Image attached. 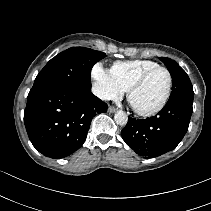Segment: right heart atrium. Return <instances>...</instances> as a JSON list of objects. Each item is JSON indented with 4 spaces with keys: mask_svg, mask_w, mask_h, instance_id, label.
<instances>
[{
    "mask_svg": "<svg viewBox=\"0 0 211 211\" xmlns=\"http://www.w3.org/2000/svg\"><path fill=\"white\" fill-rule=\"evenodd\" d=\"M92 77L95 81V93L99 98L114 100L123 95L124 90L115 81L111 71L104 68L101 64H96L93 67Z\"/></svg>",
    "mask_w": 211,
    "mask_h": 211,
    "instance_id": "d8ad5b80",
    "label": "right heart atrium"
}]
</instances>
